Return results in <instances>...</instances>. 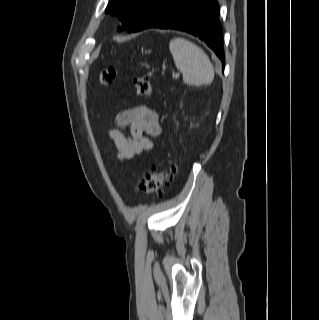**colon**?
<instances>
[{"label": "colon", "instance_id": "colon-1", "mask_svg": "<svg viewBox=\"0 0 319 320\" xmlns=\"http://www.w3.org/2000/svg\"><path fill=\"white\" fill-rule=\"evenodd\" d=\"M116 70L113 67L103 69L99 74V83L101 85L110 84L116 77ZM133 84L138 95L147 97L152 93V85L146 76H139L133 79ZM175 167L172 165L169 168L160 169L153 167L146 171L139 179L136 185V190L143 193H163L173 177Z\"/></svg>", "mask_w": 319, "mask_h": 320}]
</instances>
